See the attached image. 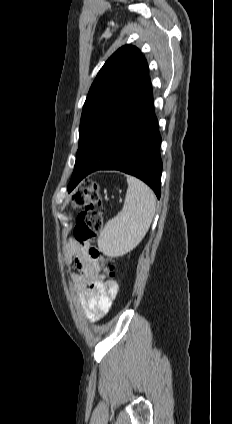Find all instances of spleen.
<instances>
[{
	"label": "spleen",
	"mask_w": 232,
	"mask_h": 424,
	"mask_svg": "<svg viewBox=\"0 0 232 424\" xmlns=\"http://www.w3.org/2000/svg\"><path fill=\"white\" fill-rule=\"evenodd\" d=\"M128 189L122 210L110 219L98 237V247L112 257L123 256L145 237L156 209L153 191L141 180L127 176Z\"/></svg>",
	"instance_id": "1"
}]
</instances>
